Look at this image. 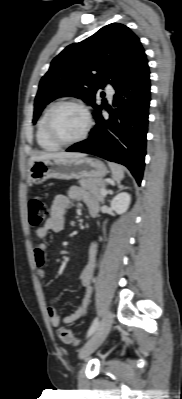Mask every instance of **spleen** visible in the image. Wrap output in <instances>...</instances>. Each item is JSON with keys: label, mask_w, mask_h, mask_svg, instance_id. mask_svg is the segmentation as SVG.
<instances>
[{"label": "spleen", "mask_w": 182, "mask_h": 399, "mask_svg": "<svg viewBox=\"0 0 182 399\" xmlns=\"http://www.w3.org/2000/svg\"><path fill=\"white\" fill-rule=\"evenodd\" d=\"M109 167L112 171V178L115 181H121L124 178V170L121 165H118L116 163H109Z\"/></svg>", "instance_id": "1"}]
</instances>
